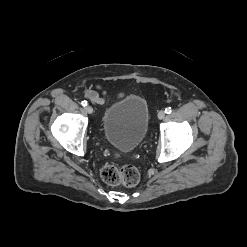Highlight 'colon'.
<instances>
[{
  "label": "colon",
  "mask_w": 247,
  "mask_h": 247,
  "mask_svg": "<svg viewBox=\"0 0 247 247\" xmlns=\"http://www.w3.org/2000/svg\"><path fill=\"white\" fill-rule=\"evenodd\" d=\"M100 174L103 181L111 186L133 187L140 179L139 171L132 165L117 167L105 164Z\"/></svg>",
  "instance_id": "1"
}]
</instances>
